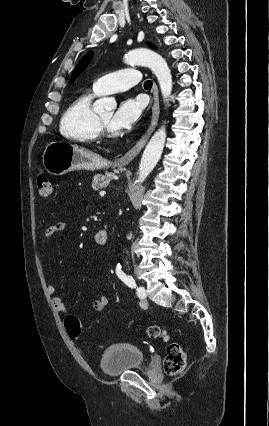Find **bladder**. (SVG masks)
Here are the masks:
<instances>
[{"mask_svg":"<svg viewBox=\"0 0 269 426\" xmlns=\"http://www.w3.org/2000/svg\"><path fill=\"white\" fill-rule=\"evenodd\" d=\"M144 363L143 351L129 343H118L108 347L100 358V367L108 376H119L133 371Z\"/></svg>","mask_w":269,"mask_h":426,"instance_id":"bladder-1","label":"bladder"}]
</instances>
